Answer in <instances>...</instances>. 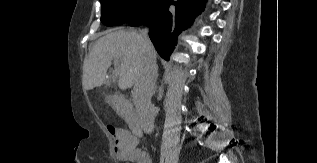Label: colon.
<instances>
[{
	"label": "colon",
	"instance_id": "1",
	"mask_svg": "<svg viewBox=\"0 0 317 163\" xmlns=\"http://www.w3.org/2000/svg\"><path fill=\"white\" fill-rule=\"evenodd\" d=\"M111 132L114 134L115 133L114 129H111Z\"/></svg>",
	"mask_w": 317,
	"mask_h": 163
}]
</instances>
